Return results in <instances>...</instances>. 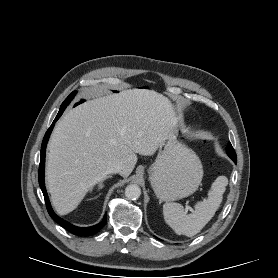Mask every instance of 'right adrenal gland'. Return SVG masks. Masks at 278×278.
<instances>
[{
  "label": "right adrenal gland",
  "instance_id": "obj_1",
  "mask_svg": "<svg viewBox=\"0 0 278 278\" xmlns=\"http://www.w3.org/2000/svg\"><path fill=\"white\" fill-rule=\"evenodd\" d=\"M112 176L111 175H108L106 176L99 184H98V190L102 189L104 187V184L103 182L108 179V178H111Z\"/></svg>",
  "mask_w": 278,
  "mask_h": 278
}]
</instances>
